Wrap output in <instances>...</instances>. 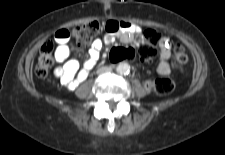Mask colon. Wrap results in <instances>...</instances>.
<instances>
[{"instance_id": "obj_1", "label": "colon", "mask_w": 225, "mask_h": 155, "mask_svg": "<svg viewBox=\"0 0 225 155\" xmlns=\"http://www.w3.org/2000/svg\"><path fill=\"white\" fill-rule=\"evenodd\" d=\"M73 40L80 47L89 45L93 39L100 33L101 26L98 22H89L73 27L71 30ZM159 37L155 30L148 29L143 34V41L139 47L110 46L108 48L107 59L110 63L115 64L118 61H132L139 54L141 61H148L151 59L159 45ZM189 61L188 54L182 45H176L173 51V64L177 69L183 68ZM54 64V45L51 41H46L40 48L39 56L36 65V74L45 78ZM146 88L157 94L167 95L175 89V82L171 79H157L154 81H147Z\"/></svg>"}]
</instances>
